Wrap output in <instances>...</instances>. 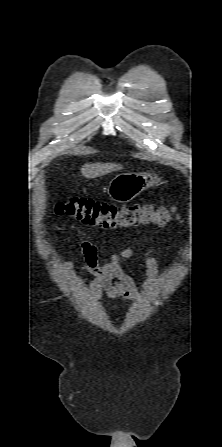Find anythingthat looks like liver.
Listing matches in <instances>:
<instances>
[{
	"instance_id": "6515ba94",
	"label": "liver",
	"mask_w": 222,
	"mask_h": 447,
	"mask_svg": "<svg viewBox=\"0 0 222 447\" xmlns=\"http://www.w3.org/2000/svg\"><path fill=\"white\" fill-rule=\"evenodd\" d=\"M122 169L120 164L113 163H89L81 168L82 175L87 179L100 177Z\"/></svg>"
}]
</instances>
